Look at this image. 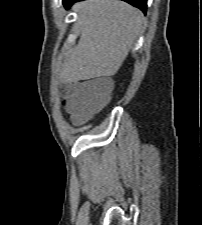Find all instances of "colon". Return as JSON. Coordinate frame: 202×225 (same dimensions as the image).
Returning a JSON list of instances; mask_svg holds the SVG:
<instances>
[{"instance_id": "1", "label": "colon", "mask_w": 202, "mask_h": 225, "mask_svg": "<svg viewBox=\"0 0 202 225\" xmlns=\"http://www.w3.org/2000/svg\"><path fill=\"white\" fill-rule=\"evenodd\" d=\"M75 89L87 97V103L91 110L103 107L110 99L113 86L103 85L99 79L89 82L74 84Z\"/></svg>"}]
</instances>
